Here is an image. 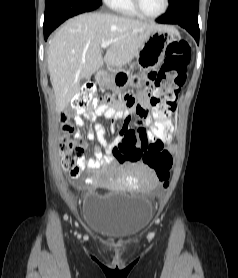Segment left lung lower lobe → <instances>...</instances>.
<instances>
[{"label":"left lung lower lobe","instance_id":"0a47b994","mask_svg":"<svg viewBox=\"0 0 238 278\" xmlns=\"http://www.w3.org/2000/svg\"><path fill=\"white\" fill-rule=\"evenodd\" d=\"M199 0H171L169 11L156 19L162 24H178L185 28L199 44Z\"/></svg>","mask_w":238,"mask_h":278}]
</instances>
